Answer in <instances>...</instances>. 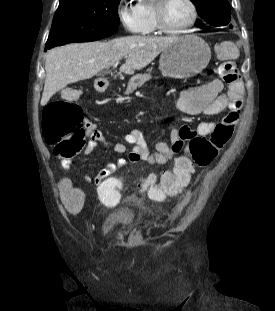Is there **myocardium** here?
Masks as SVG:
<instances>
[{
    "label": "myocardium",
    "mask_w": 275,
    "mask_h": 311,
    "mask_svg": "<svg viewBox=\"0 0 275 311\" xmlns=\"http://www.w3.org/2000/svg\"><path fill=\"white\" fill-rule=\"evenodd\" d=\"M169 1L170 0H154L153 10L157 30H159L161 33L168 35H178L186 33L191 27H193L198 18V10L194 0H185L191 9V19L185 26L178 29L168 28L165 25L163 19L164 9Z\"/></svg>",
    "instance_id": "myocardium-1"
}]
</instances>
